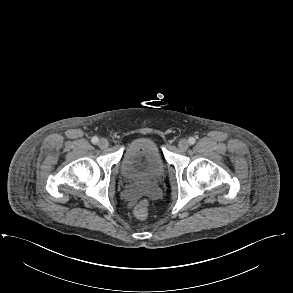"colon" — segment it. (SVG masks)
Listing matches in <instances>:
<instances>
[{"instance_id":"5ec220e1","label":"colon","mask_w":293,"mask_h":293,"mask_svg":"<svg viewBox=\"0 0 293 293\" xmlns=\"http://www.w3.org/2000/svg\"><path fill=\"white\" fill-rule=\"evenodd\" d=\"M134 216L139 220H144L148 216V201L142 200L134 207Z\"/></svg>"}]
</instances>
